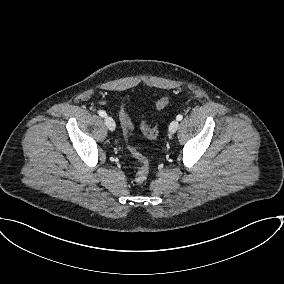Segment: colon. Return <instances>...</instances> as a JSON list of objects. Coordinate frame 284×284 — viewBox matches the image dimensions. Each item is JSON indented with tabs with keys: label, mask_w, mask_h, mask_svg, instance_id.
<instances>
[{
	"label": "colon",
	"mask_w": 284,
	"mask_h": 284,
	"mask_svg": "<svg viewBox=\"0 0 284 284\" xmlns=\"http://www.w3.org/2000/svg\"><path fill=\"white\" fill-rule=\"evenodd\" d=\"M168 102V96L161 97L156 103L157 110L162 111L167 106ZM119 115L128 142V148L131 154L140 162V167L135 174L134 180L136 183L141 184L147 179L149 175L150 163L149 160L131 143V135L133 128L124 106H121ZM140 128L144 136L149 139H154L159 134V129L156 125L149 126L145 121H141Z\"/></svg>",
	"instance_id": "colon-1"
}]
</instances>
